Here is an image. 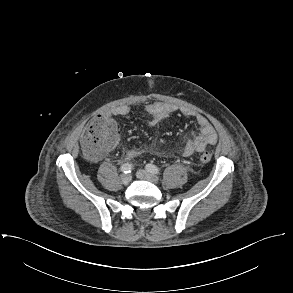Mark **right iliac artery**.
I'll return each mask as SVG.
<instances>
[{"mask_svg":"<svg viewBox=\"0 0 293 293\" xmlns=\"http://www.w3.org/2000/svg\"><path fill=\"white\" fill-rule=\"evenodd\" d=\"M132 169H133V166L130 163H125L120 167V170L124 172L125 174L131 173Z\"/></svg>","mask_w":293,"mask_h":293,"instance_id":"right-iliac-artery-1","label":"right iliac artery"}]
</instances>
